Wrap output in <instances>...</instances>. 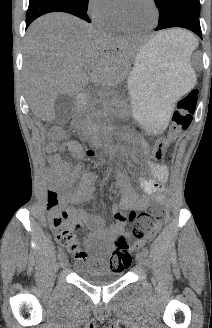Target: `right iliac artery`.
<instances>
[{"mask_svg":"<svg viewBox=\"0 0 212 328\" xmlns=\"http://www.w3.org/2000/svg\"><path fill=\"white\" fill-rule=\"evenodd\" d=\"M64 256L63 250L59 249L58 250V258L61 259Z\"/></svg>","mask_w":212,"mask_h":328,"instance_id":"right-iliac-artery-1","label":"right iliac artery"}]
</instances>
